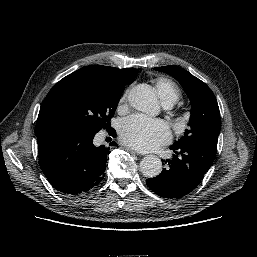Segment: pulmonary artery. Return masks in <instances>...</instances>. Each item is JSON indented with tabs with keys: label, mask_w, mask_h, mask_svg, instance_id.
Here are the masks:
<instances>
[{
	"label": "pulmonary artery",
	"mask_w": 257,
	"mask_h": 257,
	"mask_svg": "<svg viewBox=\"0 0 257 257\" xmlns=\"http://www.w3.org/2000/svg\"><path fill=\"white\" fill-rule=\"evenodd\" d=\"M166 108H169V107H171V106H169V105H164Z\"/></svg>",
	"instance_id": "pulmonary-artery-1"
}]
</instances>
